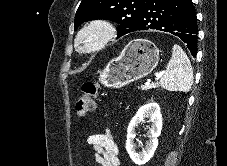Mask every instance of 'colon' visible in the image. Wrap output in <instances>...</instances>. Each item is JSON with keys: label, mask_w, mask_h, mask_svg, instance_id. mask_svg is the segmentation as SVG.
<instances>
[{"label": "colon", "mask_w": 227, "mask_h": 166, "mask_svg": "<svg viewBox=\"0 0 227 166\" xmlns=\"http://www.w3.org/2000/svg\"><path fill=\"white\" fill-rule=\"evenodd\" d=\"M98 96V85L94 82H85L82 85L81 93L76 100V112L85 116L94 111Z\"/></svg>", "instance_id": "obj_1"}]
</instances>
